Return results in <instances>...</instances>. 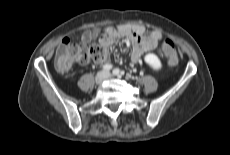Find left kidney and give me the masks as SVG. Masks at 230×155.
Instances as JSON below:
<instances>
[{
	"mask_svg": "<svg viewBox=\"0 0 230 155\" xmlns=\"http://www.w3.org/2000/svg\"><path fill=\"white\" fill-rule=\"evenodd\" d=\"M144 60L155 71L160 70L162 67L160 59L153 53L146 54Z\"/></svg>",
	"mask_w": 230,
	"mask_h": 155,
	"instance_id": "1",
	"label": "left kidney"
}]
</instances>
